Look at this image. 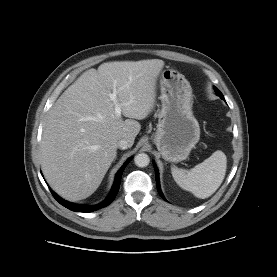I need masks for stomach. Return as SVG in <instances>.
Instances as JSON below:
<instances>
[{"mask_svg":"<svg viewBox=\"0 0 277 277\" xmlns=\"http://www.w3.org/2000/svg\"><path fill=\"white\" fill-rule=\"evenodd\" d=\"M160 92L162 108L153 141L165 160L179 162L200 139L192 111V88L184 75L167 68L160 75Z\"/></svg>","mask_w":277,"mask_h":277,"instance_id":"1","label":"stomach"}]
</instances>
